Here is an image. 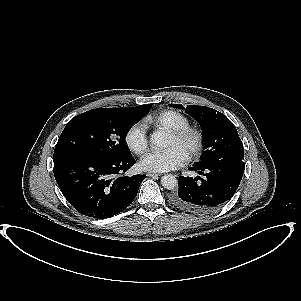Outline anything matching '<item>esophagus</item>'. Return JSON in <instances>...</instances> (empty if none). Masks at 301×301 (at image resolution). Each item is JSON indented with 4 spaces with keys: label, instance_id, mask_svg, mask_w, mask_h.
Here are the masks:
<instances>
[{
    "label": "esophagus",
    "instance_id": "1",
    "mask_svg": "<svg viewBox=\"0 0 301 301\" xmlns=\"http://www.w3.org/2000/svg\"><path fill=\"white\" fill-rule=\"evenodd\" d=\"M161 174L159 173H148L147 176L149 178H158Z\"/></svg>",
    "mask_w": 301,
    "mask_h": 301
}]
</instances>
